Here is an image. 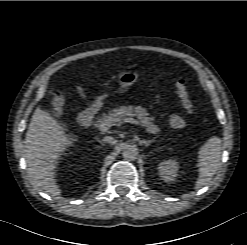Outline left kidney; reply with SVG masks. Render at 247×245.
Segmentation results:
<instances>
[{"instance_id":"obj_1","label":"left kidney","mask_w":247,"mask_h":245,"mask_svg":"<svg viewBox=\"0 0 247 245\" xmlns=\"http://www.w3.org/2000/svg\"><path fill=\"white\" fill-rule=\"evenodd\" d=\"M159 175L166 182H172L177 177L179 170L178 162L172 159L163 161L159 164Z\"/></svg>"}]
</instances>
